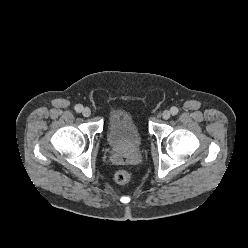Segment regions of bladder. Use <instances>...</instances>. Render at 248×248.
Segmentation results:
<instances>
[{
  "label": "bladder",
  "instance_id": "31cf9c89",
  "mask_svg": "<svg viewBox=\"0 0 248 248\" xmlns=\"http://www.w3.org/2000/svg\"><path fill=\"white\" fill-rule=\"evenodd\" d=\"M107 142L119 153H131L138 150L143 137L132 116L127 111H113L107 123Z\"/></svg>",
  "mask_w": 248,
  "mask_h": 248
}]
</instances>
